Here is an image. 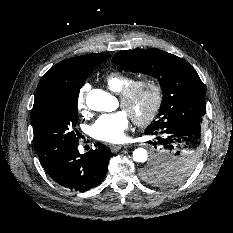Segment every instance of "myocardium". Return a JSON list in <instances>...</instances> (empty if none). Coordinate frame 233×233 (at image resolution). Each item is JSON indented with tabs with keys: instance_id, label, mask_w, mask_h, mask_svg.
<instances>
[{
	"instance_id": "obj_1",
	"label": "myocardium",
	"mask_w": 233,
	"mask_h": 233,
	"mask_svg": "<svg viewBox=\"0 0 233 233\" xmlns=\"http://www.w3.org/2000/svg\"><path fill=\"white\" fill-rule=\"evenodd\" d=\"M142 88L149 89L151 93L150 107L146 114L142 116H130L136 125L144 127L149 125L156 119L162 108L163 89L158 79L153 76H144L139 79L133 80L121 90V92L119 93V100L121 106L124 109L127 108L134 98L136 92Z\"/></svg>"
}]
</instances>
